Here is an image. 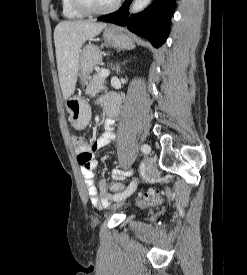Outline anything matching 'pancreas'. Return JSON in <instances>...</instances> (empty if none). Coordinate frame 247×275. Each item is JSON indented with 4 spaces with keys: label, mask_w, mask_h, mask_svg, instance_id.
Wrapping results in <instances>:
<instances>
[{
    "label": "pancreas",
    "mask_w": 247,
    "mask_h": 275,
    "mask_svg": "<svg viewBox=\"0 0 247 275\" xmlns=\"http://www.w3.org/2000/svg\"><path fill=\"white\" fill-rule=\"evenodd\" d=\"M104 83L105 79L101 77L99 74L93 75L86 88V94L90 97L95 96L100 90L105 89Z\"/></svg>",
    "instance_id": "obj_1"
}]
</instances>
